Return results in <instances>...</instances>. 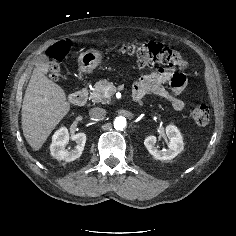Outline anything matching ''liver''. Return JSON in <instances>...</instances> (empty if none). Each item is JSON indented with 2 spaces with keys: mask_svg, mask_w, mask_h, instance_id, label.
<instances>
[{
  "mask_svg": "<svg viewBox=\"0 0 236 236\" xmlns=\"http://www.w3.org/2000/svg\"><path fill=\"white\" fill-rule=\"evenodd\" d=\"M70 104L64 90L49 80L36 63L22 105V130L28 144L41 149L52 130L67 115Z\"/></svg>",
  "mask_w": 236,
  "mask_h": 236,
  "instance_id": "obj_1",
  "label": "liver"
}]
</instances>
